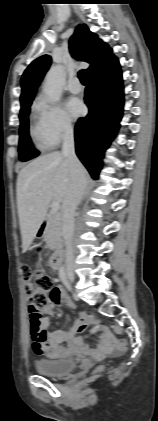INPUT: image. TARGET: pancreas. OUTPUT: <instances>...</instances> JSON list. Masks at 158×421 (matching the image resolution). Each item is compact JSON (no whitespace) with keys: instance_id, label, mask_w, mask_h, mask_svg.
<instances>
[{"instance_id":"obj_1","label":"pancreas","mask_w":158,"mask_h":421,"mask_svg":"<svg viewBox=\"0 0 158 421\" xmlns=\"http://www.w3.org/2000/svg\"><path fill=\"white\" fill-rule=\"evenodd\" d=\"M44 238L47 246L54 250L61 245V215L50 212L48 214L47 226L44 231Z\"/></svg>"}]
</instances>
